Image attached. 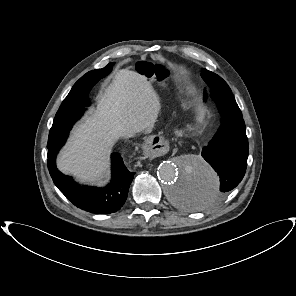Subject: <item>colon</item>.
<instances>
[{
  "mask_svg": "<svg viewBox=\"0 0 296 296\" xmlns=\"http://www.w3.org/2000/svg\"><path fill=\"white\" fill-rule=\"evenodd\" d=\"M135 68L139 74L160 84H165L169 78V72L159 65L141 61L136 63Z\"/></svg>",
  "mask_w": 296,
  "mask_h": 296,
  "instance_id": "obj_1",
  "label": "colon"
}]
</instances>
